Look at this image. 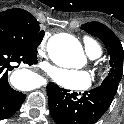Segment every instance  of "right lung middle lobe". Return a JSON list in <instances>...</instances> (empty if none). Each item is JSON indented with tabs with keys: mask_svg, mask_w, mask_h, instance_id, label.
I'll return each mask as SVG.
<instances>
[{
	"mask_svg": "<svg viewBox=\"0 0 124 124\" xmlns=\"http://www.w3.org/2000/svg\"><path fill=\"white\" fill-rule=\"evenodd\" d=\"M44 37L40 23L23 9L0 12V45L36 53Z\"/></svg>",
	"mask_w": 124,
	"mask_h": 124,
	"instance_id": "1",
	"label": "right lung middle lobe"
}]
</instances>
